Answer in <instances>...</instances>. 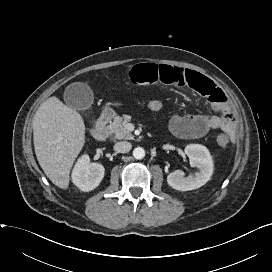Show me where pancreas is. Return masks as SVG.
<instances>
[{"instance_id":"obj_1","label":"pancreas","mask_w":272,"mask_h":272,"mask_svg":"<svg viewBox=\"0 0 272 272\" xmlns=\"http://www.w3.org/2000/svg\"><path fill=\"white\" fill-rule=\"evenodd\" d=\"M131 121V116L124 114L123 116H115L114 120L110 125H108L107 129L109 131L110 136L113 139H125L130 140L133 139V135L130 131L126 129V125Z\"/></svg>"}]
</instances>
